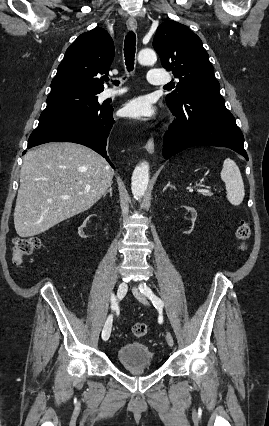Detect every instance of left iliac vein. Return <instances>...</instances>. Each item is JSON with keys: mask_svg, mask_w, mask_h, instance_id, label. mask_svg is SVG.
Here are the masks:
<instances>
[{"mask_svg": "<svg viewBox=\"0 0 269 426\" xmlns=\"http://www.w3.org/2000/svg\"><path fill=\"white\" fill-rule=\"evenodd\" d=\"M133 294L134 296L143 304H147L146 298L144 297V295L139 291V289L137 287H133L132 288ZM166 341L168 343V345L170 347H173L174 341H173V337L171 335L170 332L166 333Z\"/></svg>", "mask_w": 269, "mask_h": 426, "instance_id": "1", "label": "left iliac vein"}]
</instances>
